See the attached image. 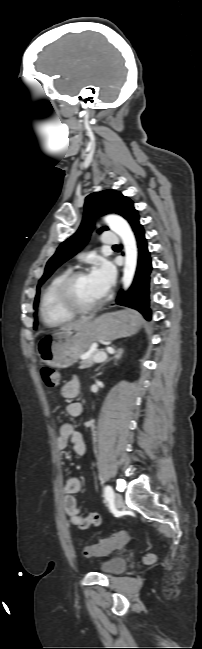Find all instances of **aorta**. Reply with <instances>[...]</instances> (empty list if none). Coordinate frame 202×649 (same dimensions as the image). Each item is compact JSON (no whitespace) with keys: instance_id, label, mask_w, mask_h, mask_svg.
<instances>
[{"instance_id":"aorta-1","label":"aorta","mask_w":202,"mask_h":649,"mask_svg":"<svg viewBox=\"0 0 202 649\" xmlns=\"http://www.w3.org/2000/svg\"><path fill=\"white\" fill-rule=\"evenodd\" d=\"M104 221L122 240L125 251V263L122 283L126 290L132 283L137 265V244L135 236L128 222L119 215L111 214Z\"/></svg>"}]
</instances>
